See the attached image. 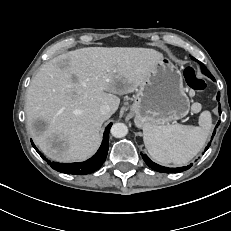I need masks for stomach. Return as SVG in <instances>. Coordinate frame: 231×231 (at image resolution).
<instances>
[{
    "label": "stomach",
    "mask_w": 231,
    "mask_h": 231,
    "mask_svg": "<svg viewBox=\"0 0 231 231\" xmlns=\"http://www.w3.org/2000/svg\"><path fill=\"white\" fill-rule=\"evenodd\" d=\"M189 109L182 74L164 57L140 85L130 108L139 128L169 125L186 116Z\"/></svg>",
    "instance_id": "1"
}]
</instances>
